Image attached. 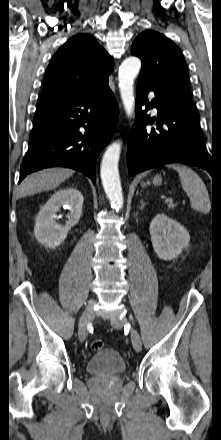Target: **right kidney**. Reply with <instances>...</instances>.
<instances>
[{"instance_id": "right-kidney-1", "label": "right kidney", "mask_w": 221, "mask_h": 440, "mask_svg": "<svg viewBox=\"0 0 221 440\" xmlns=\"http://www.w3.org/2000/svg\"><path fill=\"white\" fill-rule=\"evenodd\" d=\"M83 201L81 192L75 188L56 191L41 208L36 218L34 235L37 241L50 248L60 245L66 239L70 228L78 223L82 215ZM61 207L69 210L65 225L56 222V213Z\"/></svg>"}]
</instances>
